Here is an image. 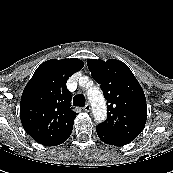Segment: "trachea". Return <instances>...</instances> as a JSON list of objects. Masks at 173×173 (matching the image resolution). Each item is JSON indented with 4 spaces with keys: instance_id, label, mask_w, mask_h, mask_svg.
<instances>
[{
    "instance_id": "3493384b",
    "label": "trachea",
    "mask_w": 173,
    "mask_h": 173,
    "mask_svg": "<svg viewBox=\"0 0 173 173\" xmlns=\"http://www.w3.org/2000/svg\"><path fill=\"white\" fill-rule=\"evenodd\" d=\"M86 104L85 97L82 94L75 95L73 98V105L83 107Z\"/></svg>"
}]
</instances>
